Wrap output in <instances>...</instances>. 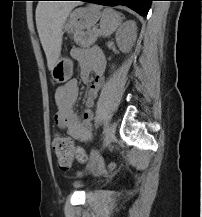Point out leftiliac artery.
Segmentation results:
<instances>
[{"label": "left iliac artery", "mask_w": 202, "mask_h": 217, "mask_svg": "<svg viewBox=\"0 0 202 217\" xmlns=\"http://www.w3.org/2000/svg\"><path fill=\"white\" fill-rule=\"evenodd\" d=\"M105 135V128L103 129L102 136Z\"/></svg>", "instance_id": "left-iliac-artery-1"}]
</instances>
